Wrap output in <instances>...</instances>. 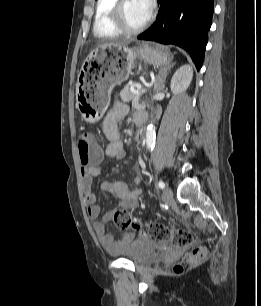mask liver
I'll use <instances>...</instances> for the list:
<instances>
[{
  "mask_svg": "<svg viewBox=\"0 0 261 306\" xmlns=\"http://www.w3.org/2000/svg\"><path fill=\"white\" fill-rule=\"evenodd\" d=\"M126 45H127V42H110V43L102 44L101 47H123Z\"/></svg>",
  "mask_w": 261,
  "mask_h": 306,
  "instance_id": "6515ba94",
  "label": "liver"
}]
</instances>
